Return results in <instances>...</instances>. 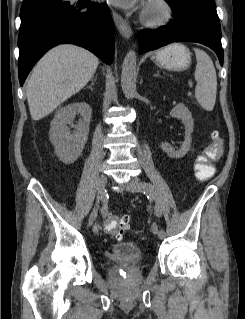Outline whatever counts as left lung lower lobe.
<instances>
[{"mask_svg": "<svg viewBox=\"0 0 245 319\" xmlns=\"http://www.w3.org/2000/svg\"><path fill=\"white\" fill-rule=\"evenodd\" d=\"M173 11L175 20L156 30L143 29L139 35V53L154 50L172 42H196L214 50L223 65L219 18L197 9Z\"/></svg>", "mask_w": 245, "mask_h": 319, "instance_id": "0a47b994", "label": "left lung lower lobe"}]
</instances>
